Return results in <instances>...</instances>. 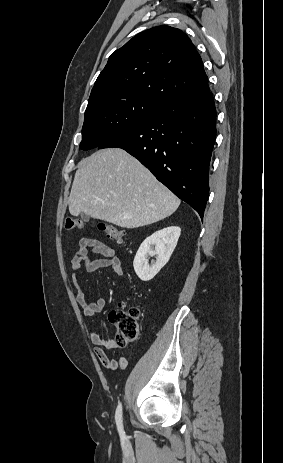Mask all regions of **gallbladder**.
I'll return each instance as SVG.
<instances>
[{"mask_svg":"<svg viewBox=\"0 0 283 463\" xmlns=\"http://www.w3.org/2000/svg\"><path fill=\"white\" fill-rule=\"evenodd\" d=\"M81 218L83 221H88L89 220V216L85 213H81Z\"/></svg>","mask_w":283,"mask_h":463,"instance_id":"1","label":"gallbladder"}]
</instances>
